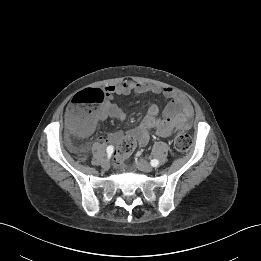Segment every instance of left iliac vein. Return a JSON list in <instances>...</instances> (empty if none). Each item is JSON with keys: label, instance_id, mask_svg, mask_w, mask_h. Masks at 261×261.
Masks as SVG:
<instances>
[{"label": "left iliac vein", "instance_id": "left-iliac-vein-1", "mask_svg": "<svg viewBox=\"0 0 261 261\" xmlns=\"http://www.w3.org/2000/svg\"><path fill=\"white\" fill-rule=\"evenodd\" d=\"M135 165L138 169L143 172L149 173L153 171V167L144 159H139L135 162Z\"/></svg>", "mask_w": 261, "mask_h": 261}]
</instances>
